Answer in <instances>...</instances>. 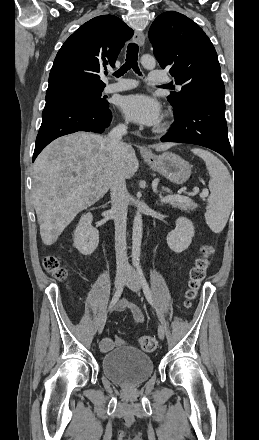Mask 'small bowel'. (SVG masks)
<instances>
[{"label":"small bowel","instance_id":"obj_1","mask_svg":"<svg viewBox=\"0 0 259 440\" xmlns=\"http://www.w3.org/2000/svg\"><path fill=\"white\" fill-rule=\"evenodd\" d=\"M119 311H125L130 310L133 315V320L137 325H141L144 322V315L141 312V310L135 306L134 304H131L127 300H122L118 305ZM124 339L117 338L115 340L106 337L101 341L100 347L103 351H108L112 349L115 345L124 343Z\"/></svg>","mask_w":259,"mask_h":440}]
</instances>
